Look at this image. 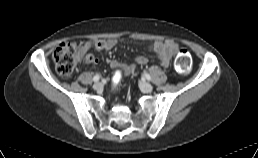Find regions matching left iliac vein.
I'll use <instances>...</instances> for the list:
<instances>
[{"mask_svg": "<svg viewBox=\"0 0 258 158\" xmlns=\"http://www.w3.org/2000/svg\"><path fill=\"white\" fill-rule=\"evenodd\" d=\"M140 88L143 92H146V93L151 92L153 90L152 85L144 81L140 82Z\"/></svg>", "mask_w": 258, "mask_h": 158, "instance_id": "1", "label": "left iliac vein"}]
</instances>
